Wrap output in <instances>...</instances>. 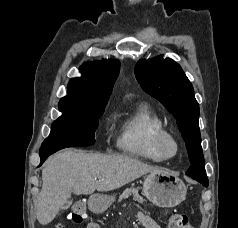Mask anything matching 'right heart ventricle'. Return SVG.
<instances>
[{
    "instance_id": "1",
    "label": "right heart ventricle",
    "mask_w": 238,
    "mask_h": 228,
    "mask_svg": "<svg viewBox=\"0 0 238 228\" xmlns=\"http://www.w3.org/2000/svg\"><path fill=\"white\" fill-rule=\"evenodd\" d=\"M164 129L161 117L147 104L140 103L121 121L118 148L131 156L162 162L163 159L154 147L156 134Z\"/></svg>"
}]
</instances>
